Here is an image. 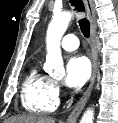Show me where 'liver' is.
Here are the masks:
<instances>
[{
	"instance_id": "liver-1",
	"label": "liver",
	"mask_w": 118,
	"mask_h": 123,
	"mask_svg": "<svg viewBox=\"0 0 118 123\" xmlns=\"http://www.w3.org/2000/svg\"><path fill=\"white\" fill-rule=\"evenodd\" d=\"M5 123H55L53 118L28 114L10 118Z\"/></svg>"
}]
</instances>
